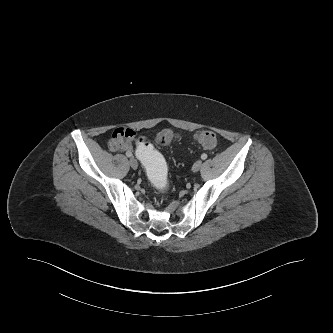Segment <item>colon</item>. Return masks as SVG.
Listing matches in <instances>:
<instances>
[{
	"label": "colon",
	"instance_id": "5ec220e1",
	"mask_svg": "<svg viewBox=\"0 0 333 333\" xmlns=\"http://www.w3.org/2000/svg\"><path fill=\"white\" fill-rule=\"evenodd\" d=\"M136 156L144 165V178L150 185H155L159 193H166L170 189L168 180V171L162 152L158 151L156 145L167 146L173 141L180 139V135L172 130L166 129L160 131L154 137V144H150L144 137H137ZM197 143L207 149L216 146V136L212 131L202 130L194 135Z\"/></svg>",
	"mask_w": 333,
	"mask_h": 333
}]
</instances>
